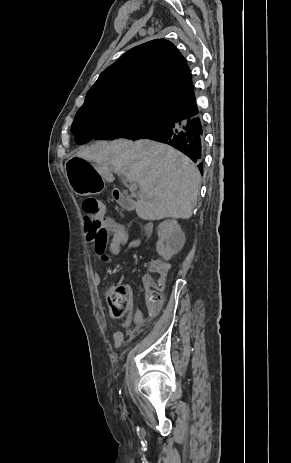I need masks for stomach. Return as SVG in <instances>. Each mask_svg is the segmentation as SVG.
Returning <instances> with one entry per match:
<instances>
[{
	"mask_svg": "<svg viewBox=\"0 0 291 463\" xmlns=\"http://www.w3.org/2000/svg\"><path fill=\"white\" fill-rule=\"evenodd\" d=\"M65 169L73 191L82 196L97 194L103 189L101 176L88 157H67Z\"/></svg>",
	"mask_w": 291,
	"mask_h": 463,
	"instance_id": "obj_1",
	"label": "stomach"
}]
</instances>
